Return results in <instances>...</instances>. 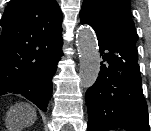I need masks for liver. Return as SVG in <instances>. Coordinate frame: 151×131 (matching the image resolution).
<instances>
[{
	"label": "liver",
	"mask_w": 151,
	"mask_h": 131,
	"mask_svg": "<svg viewBox=\"0 0 151 131\" xmlns=\"http://www.w3.org/2000/svg\"><path fill=\"white\" fill-rule=\"evenodd\" d=\"M30 110L31 111L29 113V117H28V120H27L28 124L30 122H34L36 120V112H35V110L34 109H30Z\"/></svg>",
	"instance_id": "liver-1"
}]
</instances>
